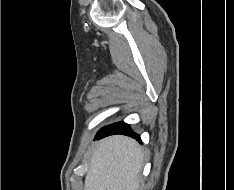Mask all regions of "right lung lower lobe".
Instances as JSON below:
<instances>
[{
	"label": "right lung lower lobe",
	"instance_id": "98d812e1",
	"mask_svg": "<svg viewBox=\"0 0 234 190\" xmlns=\"http://www.w3.org/2000/svg\"><path fill=\"white\" fill-rule=\"evenodd\" d=\"M114 134H123L130 137H133L137 139L139 142H141L140 136L136 134L131 128L129 124H126L124 122H117L111 125H108L104 128H102L96 135V139L104 138L109 135Z\"/></svg>",
	"mask_w": 234,
	"mask_h": 190
}]
</instances>
